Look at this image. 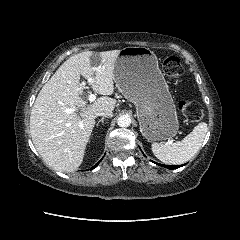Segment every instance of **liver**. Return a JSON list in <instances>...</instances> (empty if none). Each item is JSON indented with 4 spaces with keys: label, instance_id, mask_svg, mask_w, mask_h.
<instances>
[{
    "label": "liver",
    "instance_id": "1",
    "mask_svg": "<svg viewBox=\"0 0 240 240\" xmlns=\"http://www.w3.org/2000/svg\"><path fill=\"white\" fill-rule=\"evenodd\" d=\"M119 53L84 51L71 56L40 90L31 110L30 133L36 150L53 169L77 170L95 125V114L114 110L116 100L109 96L114 92L113 71ZM95 57L100 60L98 65H92ZM80 76L92 78L93 91L103 96L87 104L80 97L84 90ZM68 108L75 111L69 114Z\"/></svg>",
    "mask_w": 240,
    "mask_h": 240
}]
</instances>
